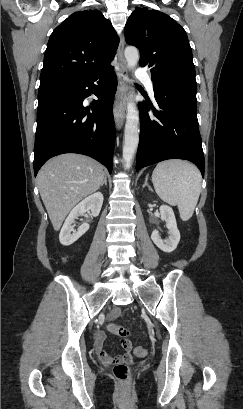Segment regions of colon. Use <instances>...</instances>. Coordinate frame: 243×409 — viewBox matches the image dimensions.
Returning a JSON list of instances; mask_svg holds the SVG:
<instances>
[{"label": "colon", "mask_w": 243, "mask_h": 409, "mask_svg": "<svg viewBox=\"0 0 243 409\" xmlns=\"http://www.w3.org/2000/svg\"><path fill=\"white\" fill-rule=\"evenodd\" d=\"M108 329L109 331L113 332L121 339H125L129 334V331L126 328L117 326L114 324H109ZM146 353H147V350L143 346H137L135 348V354L137 356H144L146 355ZM113 374L119 383H121L125 387H128V384L130 381V369L127 363L124 362V363H118L117 365H115L113 369Z\"/></svg>", "instance_id": "5ec220e1"}]
</instances>
